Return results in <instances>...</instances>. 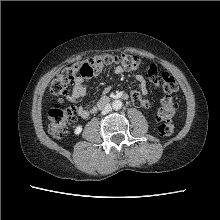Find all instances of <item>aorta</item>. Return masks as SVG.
I'll return each instance as SVG.
<instances>
[{
	"instance_id": "obj_1",
	"label": "aorta",
	"mask_w": 220,
	"mask_h": 220,
	"mask_svg": "<svg viewBox=\"0 0 220 220\" xmlns=\"http://www.w3.org/2000/svg\"><path fill=\"white\" fill-rule=\"evenodd\" d=\"M112 107L114 110H120L122 108L121 100H114L112 103Z\"/></svg>"
}]
</instances>
